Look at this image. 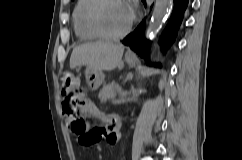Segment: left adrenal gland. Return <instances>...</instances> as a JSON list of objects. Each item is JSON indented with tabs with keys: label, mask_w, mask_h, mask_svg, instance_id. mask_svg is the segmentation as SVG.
<instances>
[{
	"label": "left adrenal gland",
	"mask_w": 242,
	"mask_h": 160,
	"mask_svg": "<svg viewBox=\"0 0 242 160\" xmlns=\"http://www.w3.org/2000/svg\"><path fill=\"white\" fill-rule=\"evenodd\" d=\"M133 96L137 97V95L135 93H133Z\"/></svg>",
	"instance_id": "left-adrenal-gland-1"
}]
</instances>
